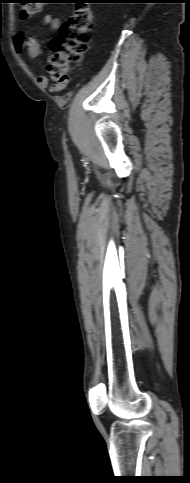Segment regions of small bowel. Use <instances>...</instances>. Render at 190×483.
<instances>
[{"label": "small bowel", "instance_id": "obj_1", "mask_svg": "<svg viewBox=\"0 0 190 483\" xmlns=\"http://www.w3.org/2000/svg\"><path fill=\"white\" fill-rule=\"evenodd\" d=\"M42 22L49 25L53 31H58L61 26V21L57 18H53L50 14L43 15ZM13 47L18 54H20L25 48L27 51V55L30 58H36L40 52V43L34 38H26L22 34H17L14 36ZM37 81L41 85H47L48 77L46 75H39L37 77ZM54 89L60 88L55 85Z\"/></svg>", "mask_w": 190, "mask_h": 483}]
</instances>
